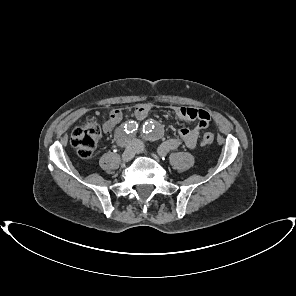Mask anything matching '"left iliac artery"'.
Listing matches in <instances>:
<instances>
[{
    "label": "left iliac artery",
    "instance_id": "44dca946",
    "mask_svg": "<svg viewBox=\"0 0 296 296\" xmlns=\"http://www.w3.org/2000/svg\"><path fill=\"white\" fill-rule=\"evenodd\" d=\"M149 125H147V123H145V125L143 126V133L146 135L149 132H151L152 130H149Z\"/></svg>",
    "mask_w": 296,
    "mask_h": 296
}]
</instances>
